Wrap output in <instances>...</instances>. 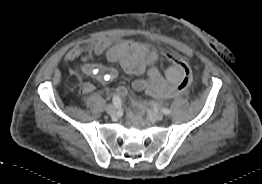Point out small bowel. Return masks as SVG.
Wrapping results in <instances>:
<instances>
[{
  "label": "small bowel",
  "instance_id": "obj_1",
  "mask_svg": "<svg viewBox=\"0 0 262 184\" xmlns=\"http://www.w3.org/2000/svg\"><path fill=\"white\" fill-rule=\"evenodd\" d=\"M95 54L108 62L118 63L120 67L131 75H145L133 81L136 91L164 99L174 94L170 93L171 87H176L182 78L181 67L171 62L164 73L158 69L160 54L149 49L146 45L132 40H112L102 38L95 42L87 43L81 47L72 48L64 57L66 62H77L80 71L88 77L96 78L101 83L107 84L114 80L118 72L113 67L93 64L90 59ZM94 90L88 81L80 84L81 94H89Z\"/></svg>",
  "mask_w": 262,
  "mask_h": 184
}]
</instances>
